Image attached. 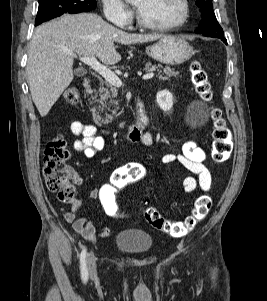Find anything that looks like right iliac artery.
Segmentation results:
<instances>
[{
	"instance_id": "1",
	"label": "right iliac artery",
	"mask_w": 267,
	"mask_h": 301,
	"mask_svg": "<svg viewBox=\"0 0 267 301\" xmlns=\"http://www.w3.org/2000/svg\"><path fill=\"white\" fill-rule=\"evenodd\" d=\"M86 252L87 249L84 248L80 254V270H81V279L84 283L88 280V270L86 266Z\"/></svg>"
}]
</instances>
